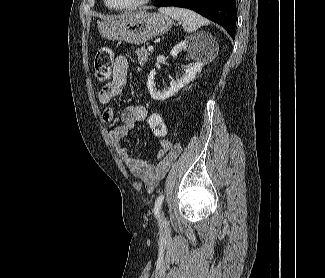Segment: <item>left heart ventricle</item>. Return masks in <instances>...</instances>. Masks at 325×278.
<instances>
[{"label":"left heart ventricle","instance_id":"b2bd125f","mask_svg":"<svg viewBox=\"0 0 325 278\" xmlns=\"http://www.w3.org/2000/svg\"><path fill=\"white\" fill-rule=\"evenodd\" d=\"M136 1L138 0H109L110 4L114 6H124V5L134 3Z\"/></svg>","mask_w":325,"mask_h":278}]
</instances>
